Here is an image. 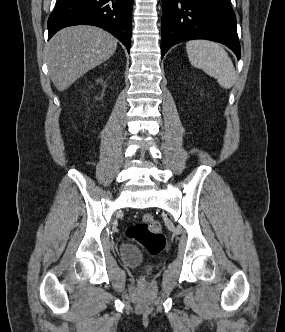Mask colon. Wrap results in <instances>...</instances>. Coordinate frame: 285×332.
Wrapping results in <instances>:
<instances>
[{"mask_svg":"<svg viewBox=\"0 0 285 332\" xmlns=\"http://www.w3.org/2000/svg\"><path fill=\"white\" fill-rule=\"evenodd\" d=\"M126 236L152 255L160 253L166 245L160 224L151 214H145L141 222L130 225Z\"/></svg>","mask_w":285,"mask_h":332,"instance_id":"colon-1","label":"colon"}]
</instances>
